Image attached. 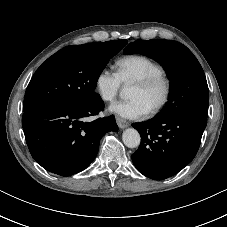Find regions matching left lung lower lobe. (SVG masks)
Listing matches in <instances>:
<instances>
[{"instance_id":"left-lung-lower-lobe-1","label":"left lung lower lobe","mask_w":227,"mask_h":227,"mask_svg":"<svg viewBox=\"0 0 227 227\" xmlns=\"http://www.w3.org/2000/svg\"><path fill=\"white\" fill-rule=\"evenodd\" d=\"M206 125V119L190 114L154 117L132 124L142 138L132 154L135 167L154 180L175 175L194 159Z\"/></svg>"}]
</instances>
